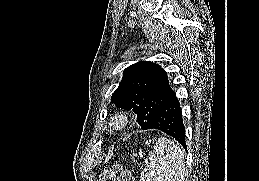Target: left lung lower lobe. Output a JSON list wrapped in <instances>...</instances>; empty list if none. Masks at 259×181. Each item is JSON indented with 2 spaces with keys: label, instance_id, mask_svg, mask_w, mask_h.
<instances>
[{
  "label": "left lung lower lobe",
  "instance_id": "left-lung-lower-lobe-1",
  "mask_svg": "<svg viewBox=\"0 0 259 181\" xmlns=\"http://www.w3.org/2000/svg\"><path fill=\"white\" fill-rule=\"evenodd\" d=\"M145 129L161 130L174 137L185 149H187L181 107L174 91L166 99L155 118L145 127Z\"/></svg>",
  "mask_w": 259,
  "mask_h": 181
}]
</instances>
